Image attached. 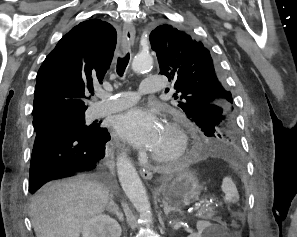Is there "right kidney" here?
I'll list each match as a JSON object with an SVG mask.
<instances>
[{
    "label": "right kidney",
    "instance_id": "obj_1",
    "mask_svg": "<svg viewBox=\"0 0 297 237\" xmlns=\"http://www.w3.org/2000/svg\"><path fill=\"white\" fill-rule=\"evenodd\" d=\"M121 233V227L115 219L99 214L85 223L82 237H120Z\"/></svg>",
    "mask_w": 297,
    "mask_h": 237
}]
</instances>
